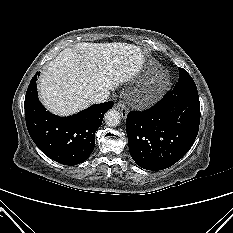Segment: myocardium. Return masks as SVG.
Here are the masks:
<instances>
[{
    "instance_id": "myocardium-1",
    "label": "myocardium",
    "mask_w": 233,
    "mask_h": 233,
    "mask_svg": "<svg viewBox=\"0 0 233 233\" xmlns=\"http://www.w3.org/2000/svg\"><path fill=\"white\" fill-rule=\"evenodd\" d=\"M158 86H159L158 84H155V85L153 86L152 91L155 92V91L157 90Z\"/></svg>"
}]
</instances>
